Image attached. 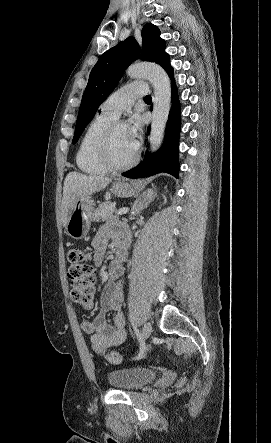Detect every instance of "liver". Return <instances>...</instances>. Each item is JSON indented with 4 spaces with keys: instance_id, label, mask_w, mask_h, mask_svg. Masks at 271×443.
<instances>
[{
    "instance_id": "liver-1",
    "label": "liver",
    "mask_w": 271,
    "mask_h": 443,
    "mask_svg": "<svg viewBox=\"0 0 271 443\" xmlns=\"http://www.w3.org/2000/svg\"><path fill=\"white\" fill-rule=\"evenodd\" d=\"M110 182H112L111 178H103V176H84L79 172H69L65 178L61 204L63 227L67 225L69 212L74 208L77 198L101 192Z\"/></svg>"
}]
</instances>
